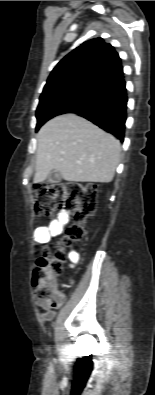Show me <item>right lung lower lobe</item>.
<instances>
[{"mask_svg": "<svg viewBox=\"0 0 155 395\" xmlns=\"http://www.w3.org/2000/svg\"><path fill=\"white\" fill-rule=\"evenodd\" d=\"M127 101L126 82L121 73L68 112L86 118L123 142Z\"/></svg>", "mask_w": 155, "mask_h": 395, "instance_id": "right-lung-lower-lobe-1", "label": "right lung lower lobe"}]
</instances>
